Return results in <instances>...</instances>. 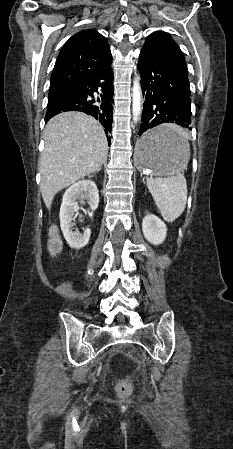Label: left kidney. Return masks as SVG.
Returning <instances> with one entry per match:
<instances>
[{
    "label": "left kidney",
    "instance_id": "left-kidney-1",
    "mask_svg": "<svg viewBox=\"0 0 233 449\" xmlns=\"http://www.w3.org/2000/svg\"><path fill=\"white\" fill-rule=\"evenodd\" d=\"M142 231L144 237L153 245L161 244L167 234L165 223L153 214H148L143 218Z\"/></svg>",
    "mask_w": 233,
    "mask_h": 449
}]
</instances>
